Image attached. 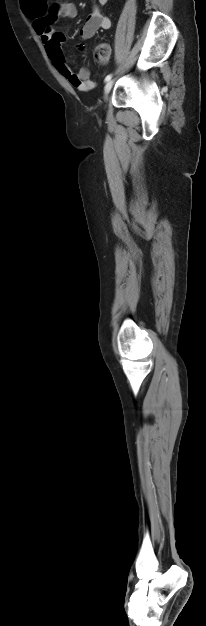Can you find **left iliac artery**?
<instances>
[{
    "instance_id": "1",
    "label": "left iliac artery",
    "mask_w": 206,
    "mask_h": 626,
    "mask_svg": "<svg viewBox=\"0 0 206 626\" xmlns=\"http://www.w3.org/2000/svg\"><path fill=\"white\" fill-rule=\"evenodd\" d=\"M113 74H109L105 77V82L109 81L112 78Z\"/></svg>"
}]
</instances>
